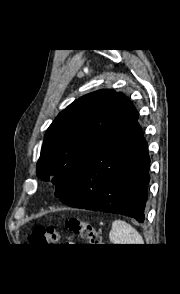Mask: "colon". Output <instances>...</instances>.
Instances as JSON below:
<instances>
[{
	"instance_id": "obj_1",
	"label": "colon",
	"mask_w": 180,
	"mask_h": 294,
	"mask_svg": "<svg viewBox=\"0 0 180 294\" xmlns=\"http://www.w3.org/2000/svg\"><path fill=\"white\" fill-rule=\"evenodd\" d=\"M65 226L72 233L89 241L91 245L97 246L102 243L100 233L89 222L77 218H69L65 221ZM58 239L59 232L53 226L38 227L29 236V241L34 244L54 245Z\"/></svg>"
}]
</instances>
